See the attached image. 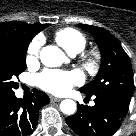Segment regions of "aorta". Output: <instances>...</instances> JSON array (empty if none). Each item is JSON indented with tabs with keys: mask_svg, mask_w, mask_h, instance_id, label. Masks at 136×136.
<instances>
[{
	"mask_svg": "<svg viewBox=\"0 0 136 136\" xmlns=\"http://www.w3.org/2000/svg\"><path fill=\"white\" fill-rule=\"evenodd\" d=\"M40 60L47 67H58L64 62L65 55L58 47L49 45L41 49ZM60 109L64 114L72 115L76 111V103L65 99L60 103Z\"/></svg>",
	"mask_w": 136,
	"mask_h": 136,
	"instance_id": "1",
	"label": "aorta"
}]
</instances>
